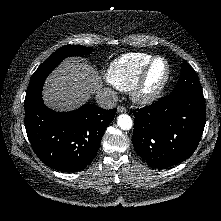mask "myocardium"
Returning <instances> with one entry per match:
<instances>
[{
  "label": "myocardium",
  "instance_id": "myocardium-1",
  "mask_svg": "<svg viewBox=\"0 0 221 221\" xmlns=\"http://www.w3.org/2000/svg\"><path fill=\"white\" fill-rule=\"evenodd\" d=\"M158 60H162L165 63L166 66L165 74L156 87L148 89L146 86L148 75L150 73L153 64ZM170 74H171V69L168 60L163 56L153 57L144 66L138 78L136 79V81L134 82L133 86L130 89L133 101L142 105L151 104L154 101H156L164 92L169 82Z\"/></svg>",
  "mask_w": 221,
  "mask_h": 221
}]
</instances>
